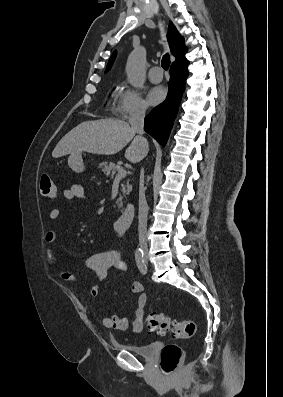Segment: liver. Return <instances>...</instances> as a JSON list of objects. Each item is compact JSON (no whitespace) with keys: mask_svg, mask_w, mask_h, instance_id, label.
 I'll use <instances>...</instances> for the list:
<instances>
[{"mask_svg":"<svg viewBox=\"0 0 283 397\" xmlns=\"http://www.w3.org/2000/svg\"><path fill=\"white\" fill-rule=\"evenodd\" d=\"M131 126L118 119H99L85 121L68 132L52 152L54 158L83 151L98 155H113L122 150L130 141L125 151V158L137 163L148 153L146 140L135 136Z\"/></svg>","mask_w":283,"mask_h":397,"instance_id":"1","label":"liver"}]
</instances>
